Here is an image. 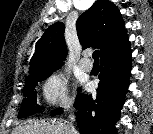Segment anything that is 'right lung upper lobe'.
I'll return each mask as SVG.
<instances>
[{
    "instance_id": "obj_1",
    "label": "right lung upper lobe",
    "mask_w": 153,
    "mask_h": 134,
    "mask_svg": "<svg viewBox=\"0 0 153 134\" xmlns=\"http://www.w3.org/2000/svg\"><path fill=\"white\" fill-rule=\"evenodd\" d=\"M76 28L82 48L97 47L101 56L128 41L120 11L108 0H97L79 17ZM66 55L64 24L57 22L49 26L37 41L29 63V74L60 67Z\"/></svg>"
}]
</instances>
